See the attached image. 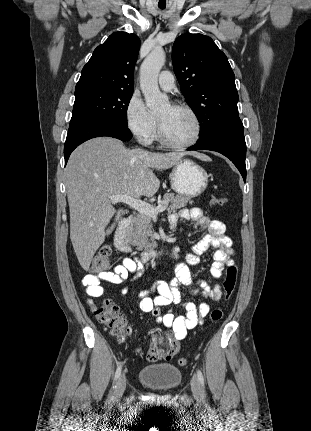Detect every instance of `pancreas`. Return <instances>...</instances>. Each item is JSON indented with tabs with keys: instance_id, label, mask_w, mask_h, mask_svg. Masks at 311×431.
I'll return each instance as SVG.
<instances>
[{
	"instance_id": "1",
	"label": "pancreas",
	"mask_w": 311,
	"mask_h": 431,
	"mask_svg": "<svg viewBox=\"0 0 311 431\" xmlns=\"http://www.w3.org/2000/svg\"><path fill=\"white\" fill-rule=\"evenodd\" d=\"M163 200L169 202L168 212H177L181 208H186L188 204H194L188 196H175V194H164ZM168 206V204H162ZM152 217L147 214H136L132 219V223L126 229V241L131 245H137V249H146L153 251L158 243L153 235Z\"/></svg>"
}]
</instances>
